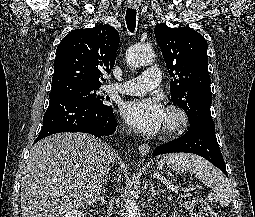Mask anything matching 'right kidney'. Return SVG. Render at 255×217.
<instances>
[{
  "mask_svg": "<svg viewBox=\"0 0 255 217\" xmlns=\"http://www.w3.org/2000/svg\"><path fill=\"white\" fill-rule=\"evenodd\" d=\"M62 217H85V214L78 210H71L66 212Z\"/></svg>",
  "mask_w": 255,
  "mask_h": 217,
  "instance_id": "obj_1",
  "label": "right kidney"
}]
</instances>
